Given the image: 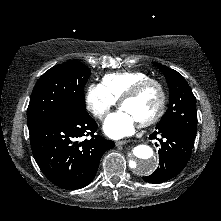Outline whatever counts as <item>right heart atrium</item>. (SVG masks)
Masks as SVG:
<instances>
[{
  "mask_svg": "<svg viewBox=\"0 0 221 221\" xmlns=\"http://www.w3.org/2000/svg\"><path fill=\"white\" fill-rule=\"evenodd\" d=\"M117 104V99L101 83L90 84L86 92L88 110L98 119L103 120L111 108Z\"/></svg>",
  "mask_w": 221,
  "mask_h": 221,
  "instance_id": "1",
  "label": "right heart atrium"
}]
</instances>
